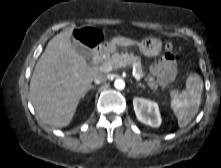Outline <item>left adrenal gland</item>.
<instances>
[{"instance_id": "a2214340", "label": "left adrenal gland", "mask_w": 221, "mask_h": 168, "mask_svg": "<svg viewBox=\"0 0 221 168\" xmlns=\"http://www.w3.org/2000/svg\"><path fill=\"white\" fill-rule=\"evenodd\" d=\"M137 87H141V88H143V89H146V87H145L144 85H142L141 83H138V84H137Z\"/></svg>"}]
</instances>
